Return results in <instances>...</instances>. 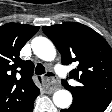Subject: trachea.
I'll return each mask as SVG.
<instances>
[{
    "mask_svg": "<svg viewBox=\"0 0 112 112\" xmlns=\"http://www.w3.org/2000/svg\"><path fill=\"white\" fill-rule=\"evenodd\" d=\"M44 73H45V67L41 63H38L35 68V74L42 75Z\"/></svg>",
    "mask_w": 112,
    "mask_h": 112,
    "instance_id": "trachea-1",
    "label": "trachea"
}]
</instances>
